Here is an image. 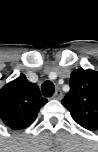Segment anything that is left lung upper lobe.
Wrapping results in <instances>:
<instances>
[{
  "label": "left lung upper lobe",
  "mask_w": 98,
  "mask_h": 152,
  "mask_svg": "<svg viewBox=\"0 0 98 152\" xmlns=\"http://www.w3.org/2000/svg\"><path fill=\"white\" fill-rule=\"evenodd\" d=\"M62 104L80 126L87 130L98 129V72L74 70L70 76V91Z\"/></svg>",
  "instance_id": "1"
}]
</instances>
